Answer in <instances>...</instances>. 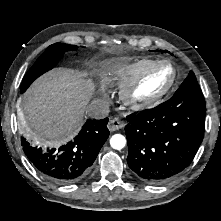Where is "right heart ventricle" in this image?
Here are the masks:
<instances>
[{"instance_id": "e07e8e85", "label": "right heart ventricle", "mask_w": 221, "mask_h": 221, "mask_svg": "<svg viewBox=\"0 0 221 221\" xmlns=\"http://www.w3.org/2000/svg\"><path fill=\"white\" fill-rule=\"evenodd\" d=\"M152 62L154 60L140 59L130 63L114 64L104 71V80L112 86L124 87Z\"/></svg>"}]
</instances>
